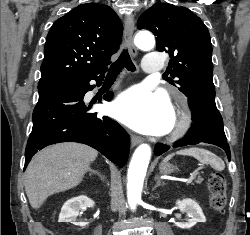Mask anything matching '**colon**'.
Listing matches in <instances>:
<instances>
[{"instance_id": "colon-1", "label": "colon", "mask_w": 250, "mask_h": 235, "mask_svg": "<svg viewBox=\"0 0 250 235\" xmlns=\"http://www.w3.org/2000/svg\"><path fill=\"white\" fill-rule=\"evenodd\" d=\"M210 193V204L214 211H223L227 202V182L224 175L220 172H213L207 181Z\"/></svg>"}]
</instances>
